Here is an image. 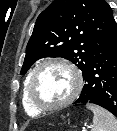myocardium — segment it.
Returning <instances> with one entry per match:
<instances>
[{
	"label": "myocardium",
	"instance_id": "myocardium-1",
	"mask_svg": "<svg viewBox=\"0 0 117 131\" xmlns=\"http://www.w3.org/2000/svg\"><path fill=\"white\" fill-rule=\"evenodd\" d=\"M49 65L64 66L73 74L74 82H75L72 93L65 100L54 105H46V104L41 103L34 94V83H35L38 73L40 72L41 69ZM82 87H83L82 73L74 64L64 59H48L38 64L34 68V70L31 72V75L28 81L27 90H28L29 99L36 109L40 110L41 112H50V111L59 110L69 105L70 103H72L80 94Z\"/></svg>",
	"mask_w": 117,
	"mask_h": 131
}]
</instances>
